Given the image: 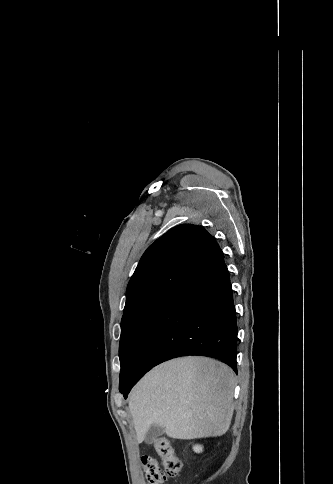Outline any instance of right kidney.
Masks as SVG:
<instances>
[{
    "label": "right kidney",
    "mask_w": 333,
    "mask_h": 484,
    "mask_svg": "<svg viewBox=\"0 0 333 484\" xmlns=\"http://www.w3.org/2000/svg\"><path fill=\"white\" fill-rule=\"evenodd\" d=\"M193 450L196 452V453H201L203 451V447L201 445H195L193 447Z\"/></svg>",
    "instance_id": "obj_1"
}]
</instances>
